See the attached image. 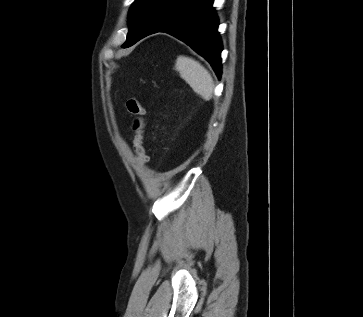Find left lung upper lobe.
<instances>
[{"instance_id": "obj_1", "label": "left lung upper lobe", "mask_w": 363, "mask_h": 317, "mask_svg": "<svg viewBox=\"0 0 363 317\" xmlns=\"http://www.w3.org/2000/svg\"><path fill=\"white\" fill-rule=\"evenodd\" d=\"M158 0H135L129 11V32L123 46L130 47L146 29Z\"/></svg>"}]
</instances>
